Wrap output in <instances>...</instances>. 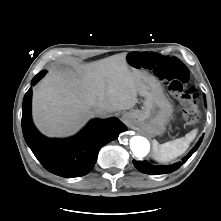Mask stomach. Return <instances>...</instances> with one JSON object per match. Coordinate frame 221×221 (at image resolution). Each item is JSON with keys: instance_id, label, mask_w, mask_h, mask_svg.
I'll return each mask as SVG.
<instances>
[{"instance_id": "obj_1", "label": "stomach", "mask_w": 221, "mask_h": 221, "mask_svg": "<svg viewBox=\"0 0 221 221\" xmlns=\"http://www.w3.org/2000/svg\"><path fill=\"white\" fill-rule=\"evenodd\" d=\"M133 54L127 55V63L133 71L139 69L131 65ZM142 86L139 94L144 97L141 110H132L128 114L133 126L143 130L149 136L161 135L166 130V124L173 113V107L163 92L158 80L142 73Z\"/></svg>"}]
</instances>
